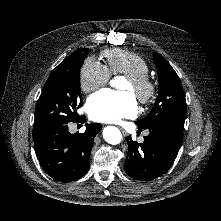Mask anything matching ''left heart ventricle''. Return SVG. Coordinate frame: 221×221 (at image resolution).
<instances>
[{"label":"left heart ventricle","instance_id":"obj_1","mask_svg":"<svg viewBox=\"0 0 221 221\" xmlns=\"http://www.w3.org/2000/svg\"><path fill=\"white\" fill-rule=\"evenodd\" d=\"M118 89H119L120 91L130 92V93H132V94L135 96V93H134V91H133V88H132L131 85L127 82L126 79H124V80H122V81H120V82L118 83Z\"/></svg>","mask_w":221,"mask_h":221}]
</instances>
